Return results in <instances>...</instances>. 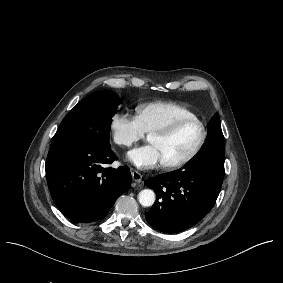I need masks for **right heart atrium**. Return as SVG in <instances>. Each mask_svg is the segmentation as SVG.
I'll list each match as a JSON object with an SVG mask.
<instances>
[{
	"mask_svg": "<svg viewBox=\"0 0 283 283\" xmlns=\"http://www.w3.org/2000/svg\"><path fill=\"white\" fill-rule=\"evenodd\" d=\"M109 132L112 142L120 147H130L145 135L138 118L121 111L112 114Z\"/></svg>",
	"mask_w": 283,
	"mask_h": 283,
	"instance_id": "right-heart-atrium-1",
	"label": "right heart atrium"
}]
</instances>
